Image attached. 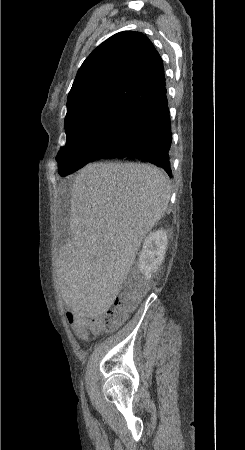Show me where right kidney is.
<instances>
[{
	"label": "right kidney",
	"instance_id": "obj_1",
	"mask_svg": "<svg viewBox=\"0 0 245 450\" xmlns=\"http://www.w3.org/2000/svg\"><path fill=\"white\" fill-rule=\"evenodd\" d=\"M167 244V234L162 229L150 233L145 238L139 255V266L146 279L149 280L151 274L156 272L163 262Z\"/></svg>",
	"mask_w": 245,
	"mask_h": 450
}]
</instances>
